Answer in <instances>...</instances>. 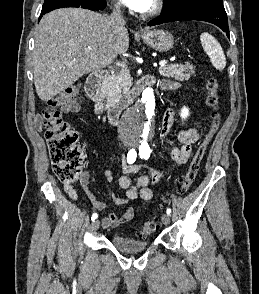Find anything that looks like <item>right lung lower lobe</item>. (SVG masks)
<instances>
[{
    "label": "right lung lower lobe",
    "mask_w": 259,
    "mask_h": 294,
    "mask_svg": "<svg viewBox=\"0 0 259 294\" xmlns=\"http://www.w3.org/2000/svg\"><path fill=\"white\" fill-rule=\"evenodd\" d=\"M63 7H81V8H86V9H90V10H101L103 8L106 7V2L105 0H95V2L90 3V4H86V5H77V4H71V3H61L58 5H55L54 7H52L51 9H49L46 12L41 13V16L39 17V19H41L42 15L54 10V9H58V8H63Z\"/></svg>",
    "instance_id": "right-lung-lower-lobe-1"
}]
</instances>
